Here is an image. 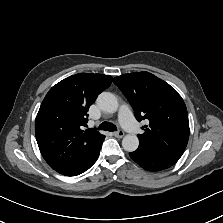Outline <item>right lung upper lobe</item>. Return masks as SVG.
Listing matches in <instances>:
<instances>
[{
  "mask_svg": "<svg viewBox=\"0 0 223 223\" xmlns=\"http://www.w3.org/2000/svg\"><path fill=\"white\" fill-rule=\"evenodd\" d=\"M112 83L104 74L79 73L54 85L45 96L35 120L40 152L51 168L66 176L77 175L95 156L104 136L82 130L87 111Z\"/></svg>",
  "mask_w": 223,
  "mask_h": 223,
  "instance_id": "obj_1",
  "label": "right lung upper lobe"
}]
</instances>
